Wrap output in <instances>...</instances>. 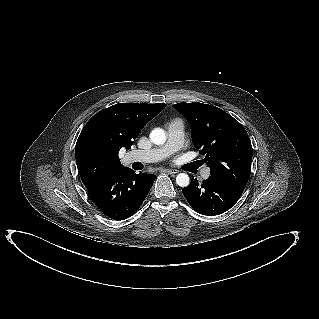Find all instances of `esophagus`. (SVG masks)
I'll use <instances>...</instances> for the list:
<instances>
[{
  "label": "esophagus",
  "instance_id": "1",
  "mask_svg": "<svg viewBox=\"0 0 319 319\" xmlns=\"http://www.w3.org/2000/svg\"><path fill=\"white\" fill-rule=\"evenodd\" d=\"M165 173L167 174H171V175H174V174H177L179 171L176 170V169H165L163 170Z\"/></svg>",
  "mask_w": 319,
  "mask_h": 319
}]
</instances>
